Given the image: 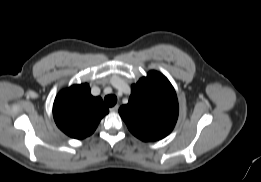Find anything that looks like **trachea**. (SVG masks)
I'll use <instances>...</instances> for the list:
<instances>
[{"instance_id":"3493384b","label":"trachea","mask_w":261,"mask_h":182,"mask_svg":"<svg viewBox=\"0 0 261 182\" xmlns=\"http://www.w3.org/2000/svg\"><path fill=\"white\" fill-rule=\"evenodd\" d=\"M104 102L108 107H113L117 102V97L115 95H108L104 98Z\"/></svg>"}]
</instances>
